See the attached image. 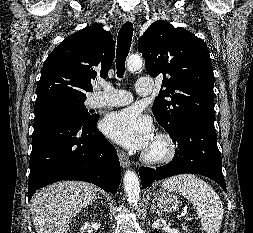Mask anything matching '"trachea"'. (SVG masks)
<instances>
[{
	"instance_id": "1",
	"label": "trachea",
	"mask_w": 253,
	"mask_h": 233,
	"mask_svg": "<svg viewBox=\"0 0 253 233\" xmlns=\"http://www.w3.org/2000/svg\"><path fill=\"white\" fill-rule=\"evenodd\" d=\"M133 36V24L126 22L122 25L117 40L116 69L117 76L122 78L125 73V61L128 56Z\"/></svg>"
}]
</instances>
